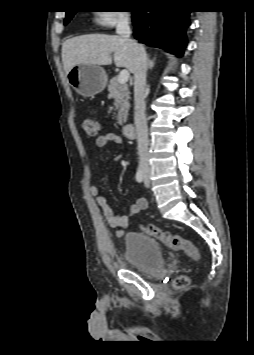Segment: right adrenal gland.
<instances>
[{
    "label": "right adrenal gland",
    "mask_w": 254,
    "mask_h": 355,
    "mask_svg": "<svg viewBox=\"0 0 254 355\" xmlns=\"http://www.w3.org/2000/svg\"><path fill=\"white\" fill-rule=\"evenodd\" d=\"M154 61L155 59L151 60L149 57L147 58L148 69L151 70L154 67Z\"/></svg>",
    "instance_id": "obj_1"
}]
</instances>
